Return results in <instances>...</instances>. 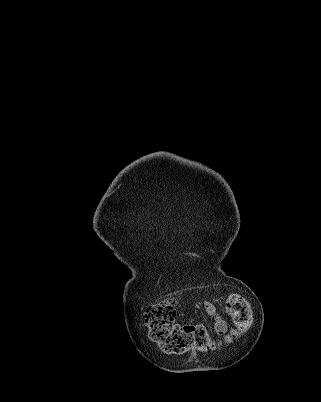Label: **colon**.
Segmentation results:
<instances>
[{
  "mask_svg": "<svg viewBox=\"0 0 321 402\" xmlns=\"http://www.w3.org/2000/svg\"><path fill=\"white\" fill-rule=\"evenodd\" d=\"M228 315L235 327L224 341L234 340L251 325L252 314L248 302L239 294H231L225 303ZM176 300L168 298L150 305L145 312V324L151 341L165 353L182 354L192 350L209 352L219 342L202 324H180L175 322Z\"/></svg>",
  "mask_w": 321,
  "mask_h": 402,
  "instance_id": "5ec220e1",
  "label": "colon"
}]
</instances>
